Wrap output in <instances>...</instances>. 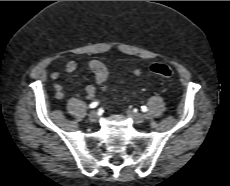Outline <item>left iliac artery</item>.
Segmentation results:
<instances>
[{"mask_svg": "<svg viewBox=\"0 0 230 186\" xmlns=\"http://www.w3.org/2000/svg\"><path fill=\"white\" fill-rule=\"evenodd\" d=\"M141 110H142L143 112H147L148 108H147L146 106H142V107H141Z\"/></svg>", "mask_w": 230, "mask_h": 186, "instance_id": "left-iliac-artery-1", "label": "left iliac artery"}]
</instances>
